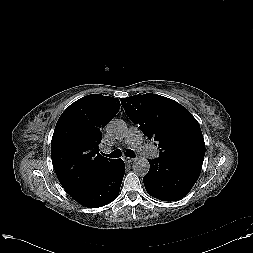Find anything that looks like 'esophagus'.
<instances>
[{
  "label": "esophagus",
  "instance_id": "1",
  "mask_svg": "<svg viewBox=\"0 0 253 253\" xmlns=\"http://www.w3.org/2000/svg\"><path fill=\"white\" fill-rule=\"evenodd\" d=\"M124 160H125L126 163L130 164V163L134 162L136 159L135 158H126Z\"/></svg>",
  "mask_w": 253,
  "mask_h": 253
}]
</instances>
